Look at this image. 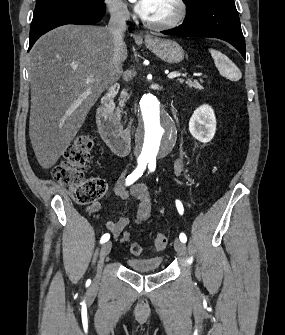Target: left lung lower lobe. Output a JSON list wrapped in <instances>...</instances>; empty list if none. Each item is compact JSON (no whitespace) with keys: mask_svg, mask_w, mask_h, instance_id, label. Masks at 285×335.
<instances>
[{"mask_svg":"<svg viewBox=\"0 0 285 335\" xmlns=\"http://www.w3.org/2000/svg\"><path fill=\"white\" fill-rule=\"evenodd\" d=\"M187 13L179 28L163 34L222 39L232 44L245 59V40L234 0H205Z\"/></svg>","mask_w":285,"mask_h":335,"instance_id":"obj_1","label":"left lung lower lobe"}]
</instances>
